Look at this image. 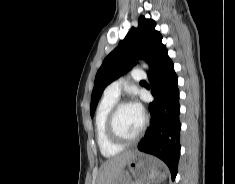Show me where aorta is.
Here are the masks:
<instances>
[{
  "label": "aorta",
  "mask_w": 235,
  "mask_h": 184,
  "mask_svg": "<svg viewBox=\"0 0 235 184\" xmlns=\"http://www.w3.org/2000/svg\"><path fill=\"white\" fill-rule=\"evenodd\" d=\"M141 66L142 68H145V70H148L149 68L148 64H144V62H142Z\"/></svg>",
  "instance_id": "aorta-1"
}]
</instances>
